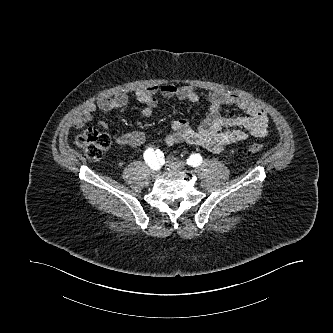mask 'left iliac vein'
<instances>
[{"label":"left iliac vein","mask_w":333,"mask_h":333,"mask_svg":"<svg viewBox=\"0 0 333 333\" xmlns=\"http://www.w3.org/2000/svg\"><path fill=\"white\" fill-rule=\"evenodd\" d=\"M166 167L169 169L179 170L181 169L182 165L177 162L169 160L166 162Z\"/></svg>","instance_id":"left-iliac-vein-1"}]
</instances>
